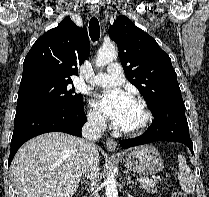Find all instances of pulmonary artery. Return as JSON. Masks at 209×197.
<instances>
[{"mask_svg": "<svg viewBox=\"0 0 209 197\" xmlns=\"http://www.w3.org/2000/svg\"><path fill=\"white\" fill-rule=\"evenodd\" d=\"M123 81L122 69L117 62L110 63L106 72L98 73L94 78V83L103 87L117 86L122 84Z\"/></svg>", "mask_w": 209, "mask_h": 197, "instance_id": "e3ab8cb5", "label": "pulmonary artery"}]
</instances>
